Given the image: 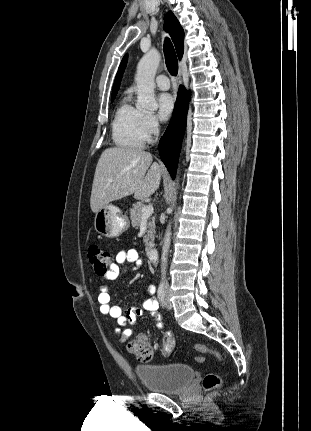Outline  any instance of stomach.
<instances>
[{"label": "stomach", "instance_id": "stomach-1", "mask_svg": "<svg viewBox=\"0 0 311 431\" xmlns=\"http://www.w3.org/2000/svg\"><path fill=\"white\" fill-rule=\"evenodd\" d=\"M130 227V219L124 216L118 206L108 204L99 212H95L94 229L104 237H119L123 231Z\"/></svg>", "mask_w": 311, "mask_h": 431}]
</instances>
